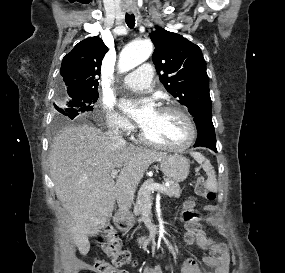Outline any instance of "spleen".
<instances>
[{
  "label": "spleen",
  "instance_id": "spleen-1",
  "mask_svg": "<svg viewBox=\"0 0 285 273\" xmlns=\"http://www.w3.org/2000/svg\"><path fill=\"white\" fill-rule=\"evenodd\" d=\"M191 155L194 159L202 165L204 171L206 172L208 179H207V186L210 190L216 191L217 190V179L215 175V171L213 166L211 165L210 161L206 159L202 154L198 152H192Z\"/></svg>",
  "mask_w": 285,
  "mask_h": 273
}]
</instances>
